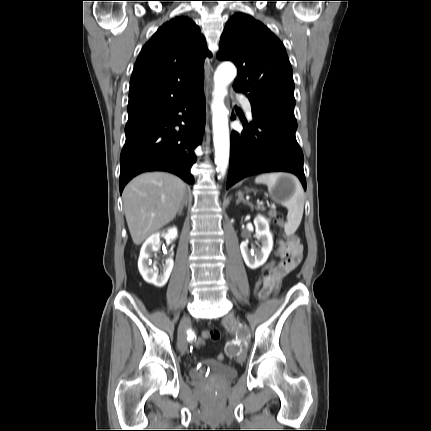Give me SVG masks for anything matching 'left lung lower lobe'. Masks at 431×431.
Wrapping results in <instances>:
<instances>
[{"label":"left lung lower lobe","mask_w":431,"mask_h":431,"mask_svg":"<svg viewBox=\"0 0 431 431\" xmlns=\"http://www.w3.org/2000/svg\"><path fill=\"white\" fill-rule=\"evenodd\" d=\"M252 116L253 122H244L246 129L231 133L227 188L249 175L284 171L298 176L306 189L303 153L295 137L297 122L253 110Z\"/></svg>","instance_id":"left-lung-lower-lobe-1"}]
</instances>
